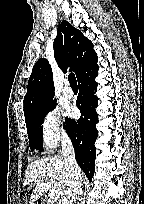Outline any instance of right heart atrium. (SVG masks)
Listing matches in <instances>:
<instances>
[{
    "label": "right heart atrium",
    "instance_id": "obj_1",
    "mask_svg": "<svg viewBox=\"0 0 144 204\" xmlns=\"http://www.w3.org/2000/svg\"><path fill=\"white\" fill-rule=\"evenodd\" d=\"M41 135L44 146L49 149L67 136L62 118L56 110L51 109L44 114L41 121Z\"/></svg>",
    "mask_w": 144,
    "mask_h": 204
}]
</instances>
